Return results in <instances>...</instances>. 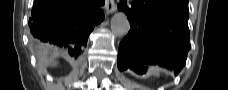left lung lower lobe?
Wrapping results in <instances>:
<instances>
[{
	"instance_id": "1",
	"label": "left lung lower lobe",
	"mask_w": 228,
	"mask_h": 90,
	"mask_svg": "<svg viewBox=\"0 0 228 90\" xmlns=\"http://www.w3.org/2000/svg\"><path fill=\"white\" fill-rule=\"evenodd\" d=\"M184 0H133L131 10L121 0L130 22V31L119 45L117 66L145 73L143 64H158L174 69L177 75L186 63L191 48L189 11Z\"/></svg>"
}]
</instances>
